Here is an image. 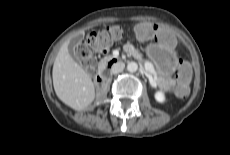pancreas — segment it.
<instances>
[{
  "label": "pancreas",
  "mask_w": 230,
  "mask_h": 155,
  "mask_svg": "<svg viewBox=\"0 0 230 155\" xmlns=\"http://www.w3.org/2000/svg\"><path fill=\"white\" fill-rule=\"evenodd\" d=\"M124 51L127 52L128 54L132 55L134 58L138 59V60H142V55L136 50L134 49L133 47H128V45H125L124 46ZM113 57L112 56H108V57H105L102 62L104 61H109L110 59H112ZM149 62L145 61V64H147ZM152 67V66H151ZM153 68V67H152ZM150 72V71H149ZM151 73V72H150ZM156 81L158 83L161 84L162 82V85L167 89V90H170L173 86H174V81L173 79L170 77V76H166L162 79H160L159 77L156 79Z\"/></svg>",
  "instance_id": "obj_1"
}]
</instances>
